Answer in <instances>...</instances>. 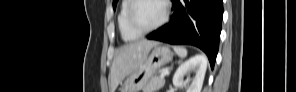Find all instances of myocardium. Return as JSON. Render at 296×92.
<instances>
[{"label":"myocardium","instance_id":"1","mask_svg":"<svg viewBox=\"0 0 296 92\" xmlns=\"http://www.w3.org/2000/svg\"><path fill=\"white\" fill-rule=\"evenodd\" d=\"M143 0H134L131 2L129 9H128V13H127V23L129 25V27L137 34L139 35H145L148 34L158 28H160L163 24H165V22L168 19V4L166 1H162V0H158V2L161 3L162 8H163V13H162V17L161 19L152 27L150 28H141L139 27L134 19V12L137 8V6L142 2Z\"/></svg>","mask_w":296,"mask_h":92}]
</instances>
